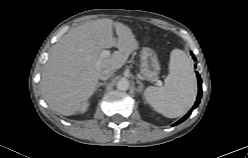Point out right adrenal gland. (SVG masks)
<instances>
[{
    "label": "right adrenal gland",
    "mask_w": 248,
    "mask_h": 158,
    "mask_svg": "<svg viewBox=\"0 0 248 158\" xmlns=\"http://www.w3.org/2000/svg\"><path fill=\"white\" fill-rule=\"evenodd\" d=\"M105 84H106V82H98L97 86H96V90H98L100 86H103Z\"/></svg>",
    "instance_id": "right-adrenal-gland-1"
}]
</instances>
